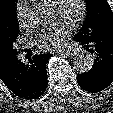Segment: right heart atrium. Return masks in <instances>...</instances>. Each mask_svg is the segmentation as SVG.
<instances>
[{"label": "right heart atrium", "mask_w": 113, "mask_h": 113, "mask_svg": "<svg viewBox=\"0 0 113 113\" xmlns=\"http://www.w3.org/2000/svg\"><path fill=\"white\" fill-rule=\"evenodd\" d=\"M15 16L17 23L21 29L29 26V10L26 0H19L15 8Z\"/></svg>", "instance_id": "obj_1"}]
</instances>
